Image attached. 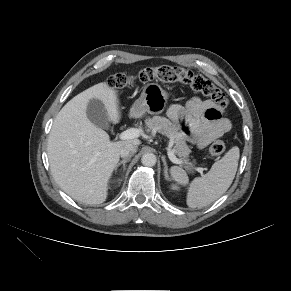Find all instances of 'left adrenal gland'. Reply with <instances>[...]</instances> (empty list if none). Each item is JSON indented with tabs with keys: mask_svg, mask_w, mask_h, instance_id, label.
<instances>
[{
	"mask_svg": "<svg viewBox=\"0 0 291 291\" xmlns=\"http://www.w3.org/2000/svg\"><path fill=\"white\" fill-rule=\"evenodd\" d=\"M162 161L164 164V176H165V179L167 180L168 179V166L165 160V156H162Z\"/></svg>",
	"mask_w": 291,
	"mask_h": 291,
	"instance_id": "a2214340",
	"label": "left adrenal gland"
}]
</instances>
